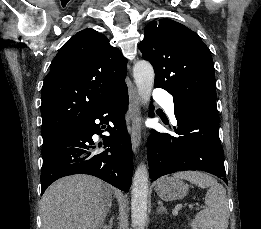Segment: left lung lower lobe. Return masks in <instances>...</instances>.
Returning <instances> with one entry per match:
<instances>
[{
  "label": "left lung lower lobe",
  "mask_w": 261,
  "mask_h": 229,
  "mask_svg": "<svg viewBox=\"0 0 261 229\" xmlns=\"http://www.w3.org/2000/svg\"><path fill=\"white\" fill-rule=\"evenodd\" d=\"M178 136L151 131L147 156L149 176L157 178L186 170H201L227 183L219 139L218 111L198 103H174ZM154 113L150 112V116Z\"/></svg>",
  "instance_id": "left-lung-lower-lobe-1"
}]
</instances>
